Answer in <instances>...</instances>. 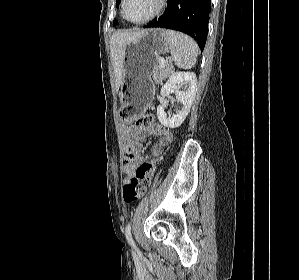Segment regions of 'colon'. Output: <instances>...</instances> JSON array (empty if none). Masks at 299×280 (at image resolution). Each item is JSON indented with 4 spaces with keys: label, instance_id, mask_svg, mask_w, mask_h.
<instances>
[{
    "label": "colon",
    "instance_id": "1",
    "mask_svg": "<svg viewBox=\"0 0 299 280\" xmlns=\"http://www.w3.org/2000/svg\"><path fill=\"white\" fill-rule=\"evenodd\" d=\"M153 121L150 114L140 117L134 125V133H145V128ZM132 157V148L127 145L124 150V161L127 162ZM155 163L146 161L140 164L136 170L135 178L126 182L123 186V199L127 204L133 203L143 197L153 174Z\"/></svg>",
    "mask_w": 299,
    "mask_h": 280
}]
</instances>
